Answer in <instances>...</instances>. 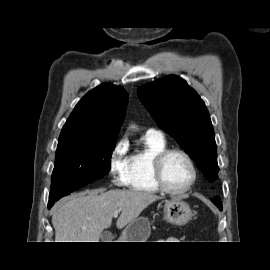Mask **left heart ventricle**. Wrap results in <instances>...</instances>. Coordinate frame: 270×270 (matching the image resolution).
<instances>
[{"label": "left heart ventricle", "instance_id": "obj_1", "mask_svg": "<svg viewBox=\"0 0 270 270\" xmlns=\"http://www.w3.org/2000/svg\"><path fill=\"white\" fill-rule=\"evenodd\" d=\"M163 176L169 187L181 189L191 181L192 171L187 160L182 155L174 153L164 161Z\"/></svg>", "mask_w": 270, "mask_h": 270}]
</instances>
